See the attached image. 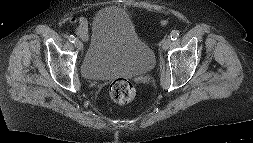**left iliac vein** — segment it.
<instances>
[{
    "mask_svg": "<svg viewBox=\"0 0 253 143\" xmlns=\"http://www.w3.org/2000/svg\"><path fill=\"white\" fill-rule=\"evenodd\" d=\"M171 45V39L170 38H166L162 41V49L163 50H167Z\"/></svg>",
    "mask_w": 253,
    "mask_h": 143,
    "instance_id": "left-iliac-vein-1",
    "label": "left iliac vein"
}]
</instances>
